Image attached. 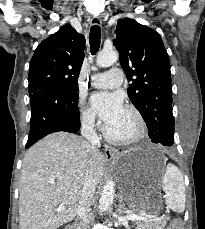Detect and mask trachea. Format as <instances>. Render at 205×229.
Returning a JSON list of instances; mask_svg holds the SVG:
<instances>
[{
  "label": "trachea",
  "mask_w": 205,
  "mask_h": 229,
  "mask_svg": "<svg viewBox=\"0 0 205 229\" xmlns=\"http://www.w3.org/2000/svg\"><path fill=\"white\" fill-rule=\"evenodd\" d=\"M101 31L99 26H92L89 34V42L92 55H95L100 47Z\"/></svg>",
  "instance_id": "1"
}]
</instances>
